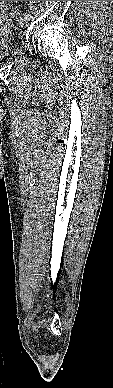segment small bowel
<instances>
[{
	"mask_svg": "<svg viewBox=\"0 0 113 388\" xmlns=\"http://www.w3.org/2000/svg\"><path fill=\"white\" fill-rule=\"evenodd\" d=\"M2 4H3L2 1H0V19L3 18L2 16L5 15V12L3 10V5Z\"/></svg>",
	"mask_w": 113,
	"mask_h": 388,
	"instance_id": "obj_1",
	"label": "small bowel"
}]
</instances>
